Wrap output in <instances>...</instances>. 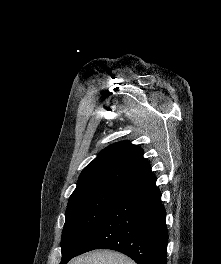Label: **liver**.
Wrapping results in <instances>:
<instances>
[{
  "label": "liver",
  "instance_id": "obj_1",
  "mask_svg": "<svg viewBox=\"0 0 221 264\" xmlns=\"http://www.w3.org/2000/svg\"><path fill=\"white\" fill-rule=\"evenodd\" d=\"M69 264H136L127 256L108 250L94 251L72 260Z\"/></svg>",
  "mask_w": 221,
  "mask_h": 264
}]
</instances>
